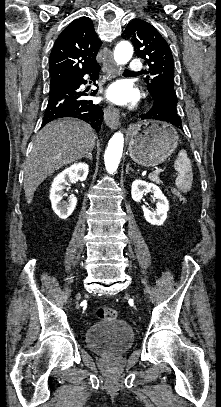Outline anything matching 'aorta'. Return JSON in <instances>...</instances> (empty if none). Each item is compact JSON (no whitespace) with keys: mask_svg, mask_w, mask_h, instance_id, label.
I'll return each instance as SVG.
<instances>
[{"mask_svg":"<svg viewBox=\"0 0 221 407\" xmlns=\"http://www.w3.org/2000/svg\"><path fill=\"white\" fill-rule=\"evenodd\" d=\"M133 47L128 41L119 42L114 50V60L117 64H126L132 58ZM124 136L121 132L115 133L108 143L104 161L106 170L113 173L117 170L123 152Z\"/></svg>","mask_w":221,"mask_h":407,"instance_id":"762f6f07","label":"aorta"}]
</instances>
